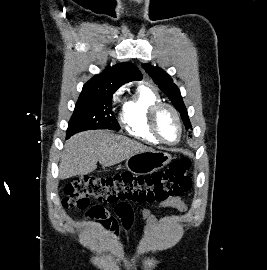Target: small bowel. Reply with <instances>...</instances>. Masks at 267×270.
I'll return each mask as SVG.
<instances>
[{"instance_id":"1","label":"small bowel","mask_w":267,"mask_h":270,"mask_svg":"<svg viewBox=\"0 0 267 270\" xmlns=\"http://www.w3.org/2000/svg\"><path fill=\"white\" fill-rule=\"evenodd\" d=\"M162 208H174L181 212L187 206L180 197L170 198L161 203ZM116 217H112L103 207L95 206L86 214V221L105 230L118 233L121 229H128L134 219L135 211L127 202H120L115 207ZM137 214L144 220L146 234H152L158 225L157 217L148 209H140Z\"/></svg>"}]
</instances>
